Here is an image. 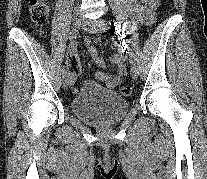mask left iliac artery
I'll return each mask as SVG.
<instances>
[{"mask_svg": "<svg viewBox=\"0 0 207 179\" xmlns=\"http://www.w3.org/2000/svg\"><path fill=\"white\" fill-rule=\"evenodd\" d=\"M108 28L115 29V31H118V28H119V31H121V26L117 22L108 23ZM128 55H129V63L135 64L136 57L134 56V52L132 50H129Z\"/></svg>", "mask_w": 207, "mask_h": 179, "instance_id": "obj_1", "label": "left iliac artery"}]
</instances>
